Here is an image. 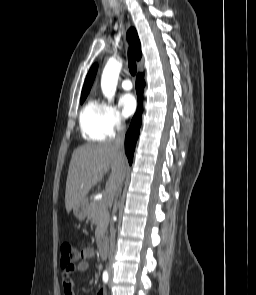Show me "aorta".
<instances>
[{"mask_svg":"<svg viewBox=\"0 0 256 295\" xmlns=\"http://www.w3.org/2000/svg\"><path fill=\"white\" fill-rule=\"evenodd\" d=\"M121 68L122 61L111 58L103 70L101 77V89L103 95L108 99V101H112L115 96Z\"/></svg>","mask_w":256,"mask_h":295,"instance_id":"aorta-1","label":"aorta"}]
</instances>
